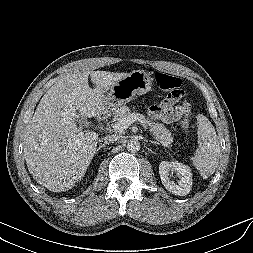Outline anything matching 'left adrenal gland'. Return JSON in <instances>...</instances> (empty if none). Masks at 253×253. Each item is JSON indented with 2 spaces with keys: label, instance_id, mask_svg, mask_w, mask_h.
Listing matches in <instances>:
<instances>
[{
  "label": "left adrenal gland",
  "instance_id": "obj_1",
  "mask_svg": "<svg viewBox=\"0 0 253 253\" xmlns=\"http://www.w3.org/2000/svg\"><path fill=\"white\" fill-rule=\"evenodd\" d=\"M152 144H154V145H160V143L159 142H156V141H150Z\"/></svg>",
  "mask_w": 253,
  "mask_h": 253
}]
</instances>
